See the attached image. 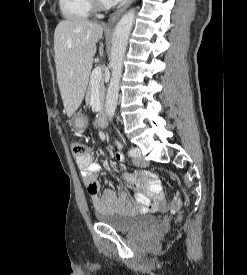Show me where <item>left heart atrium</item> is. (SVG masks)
Masks as SVG:
<instances>
[{"label": "left heart atrium", "instance_id": "39dd6f15", "mask_svg": "<svg viewBox=\"0 0 247 275\" xmlns=\"http://www.w3.org/2000/svg\"><path fill=\"white\" fill-rule=\"evenodd\" d=\"M109 3H111V4H115V3H118V2H120V1H122V0H107Z\"/></svg>", "mask_w": 247, "mask_h": 275}]
</instances>
